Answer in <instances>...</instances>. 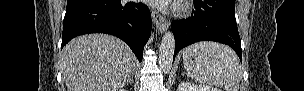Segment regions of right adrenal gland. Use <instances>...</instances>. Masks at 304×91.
Wrapping results in <instances>:
<instances>
[{
  "label": "right adrenal gland",
  "mask_w": 304,
  "mask_h": 91,
  "mask_svg": "<svg viewBox=\"0 0 304 91\" xmlns=\"http://www.w3.org/2000/svg\"><path fill=\"white\" fill-rule=\"evenodd\" d=\"M128 83L133 84V76L129 79Z\"/></svg>",
  "instance_id": "1"
}]
</instances>
